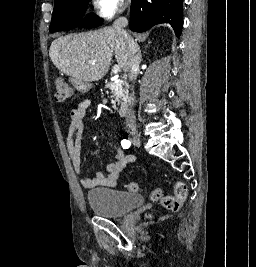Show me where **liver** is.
Masks as SVG:
<instances>
[{
    "label": "liver",
    "instance_id": "1",
    "mask_svg": "<svg viewBox=\"0 0 256 267\" xmlns=\"http://www.w3.org/2000/svg\"><path fill=\"white\" fill-rule=\"evenodd\" d=\"M129 44L114 28L69 34L54 40L49 56L56 68L71 76V82H98L107 74L112 56L117 66L127 72Z\"/></svg>",
    "mask_w": 256,
    "mask_h": 267
}]
</instances>
